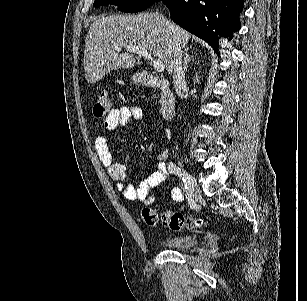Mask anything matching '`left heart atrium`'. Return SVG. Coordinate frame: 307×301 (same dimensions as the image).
Here are the masks:
<instances>
[{"mask_svg":"<svg viewBox=\"0 0 307 301\" xmlns=\"http://www.w3.org/2000/svg\"><path fill=\"white\" fill-rule=\"evenodd\" d=\"M162 62H175V61H162Z\"/></svg>","mask_w":307,"mask_h":301,"instance_id":"obj_1","label":"left heart atrium"}]
</instances>
